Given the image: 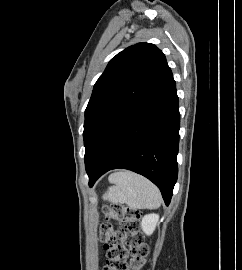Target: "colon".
<instances>
[{
    "mask_svg": "<svg viewBox=\"0 0 242 270\" xmlns=\"http://www.w3.org/2000/svg\"><path fill=\"white\" fill-rule=\"evenodd\" d=\"M103 213L121 221L122 232L114 231L110 224L102 225L101 241L108 259L101 270H141L149 249L140 230L139 212L114 204L104 207Z\"/></svg>",
    "mask_w": 242,
    "mask_h": 270,
    "instance_id": "obj_1",
    "label": "colon"
}]
</instances>
